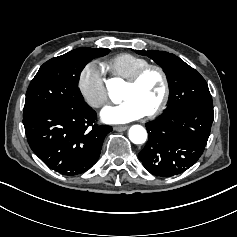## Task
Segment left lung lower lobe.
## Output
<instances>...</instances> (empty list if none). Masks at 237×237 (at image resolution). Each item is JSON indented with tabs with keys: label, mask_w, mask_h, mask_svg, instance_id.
<instances>
[{
	"label": "left lung lower lobe",
	"mask_w": 237,
	"mask_h": 237,
	"mask_svg": "<svg viewBox=\"0 0 237 237\" xmlns=\"http://www.w3.org/2000/svg\"><path fill=\"white\" fill-rule=\"evenodd\" d=\"M168 119L172 120L174 123L181 122L184 120H201L205 122L208 127L211 128L213 122V108H193L177 110L166 116ZM196 160H177L173 164L190 168ZM160 164L144 165V167L153 175H155V170Z\"/></svg>",
	"instance_id": "obj_1"
}]
</instances>
